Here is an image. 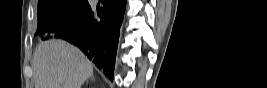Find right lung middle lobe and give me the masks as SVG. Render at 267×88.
<instances>
[{"mask_svg": "<svg viewBox=\"0 0 267 88\" xmlns=\"http://www.w3.org/2000/svg\"><path fill=\"white\" fill-rule=\"evenodd\" d=\"M88 7L87 0H39L35 35L49 39L60 24L72 21Z\"/></svg>", "mask_w": 267, "mask_h": 88, "instance_id": "1", "label": "right lung middle lobe"}]
</instances>
